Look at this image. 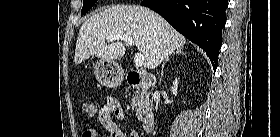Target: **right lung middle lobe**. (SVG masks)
<instances>
[{
	"label": "right lung middle lobe",
	"mask_w": 280,
	"mask_h": 137,
	"mask_svg": "<svg viewBox=\"0 0 280 137\" xmlns=\"http://www.w3.org/2000/svg\"><path fill=\"white\" fill-rule=\"evenodd\" d=\"M97 0H83V7L81 10V15L85 14L87 11H89L92 6L96 3Z\"/></svg>",
	"instance_id": "dd1d6c3e"
}]
</instances>
